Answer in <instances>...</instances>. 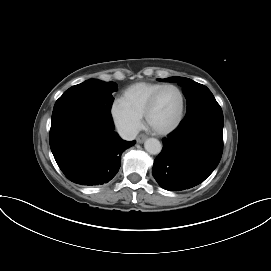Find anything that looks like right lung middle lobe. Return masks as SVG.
<instances>
[{"instance_id":"1","label":"right lung middle lobe","mask_w":271,"mask_h":271,"mask_svg":"<svg viewBox=\"0 0 271 271\" xmlns=\"http://www.w3.org/2000/svg\"><path fill=\"white\" fill-rule=\"evenodd\" d=\"M116 90L114 82L89 79L66 90L56 101L53 111L86 103H104L111 108L114 100L112 93Z\"/></svg>"}]
</instances>
